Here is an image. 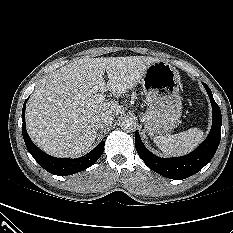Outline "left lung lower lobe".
Segmentation results:
<instances>
[{
  "label": "left lung lower lobe",
  "mask_w": 233,
  "mask_h": 233,
  "mask_svg": "<svg viewBox=\"0 0 233 233\" xmlns=\"http://www.w3.org/2000/svg\"><path fill=\"white\" fill-rule=\"evenodd\" d=\"M212 104L213 121L210 133L197 149L188 155L176 158H160L152 154L135 133V146L140 158L153 171L170 179H185L200 171L214 156L221 139V111L210 88L203 83Z\"/></svg>",
  "instance_id": "1"
}]
</instances>
